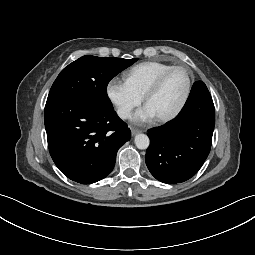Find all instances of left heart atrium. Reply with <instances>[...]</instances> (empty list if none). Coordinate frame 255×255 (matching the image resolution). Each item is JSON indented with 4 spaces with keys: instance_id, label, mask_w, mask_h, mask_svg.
<instances>
[{
    "instance_id": "left-heart-atrium-1",
    "label": "left heart atrium",
    "mask_w": 255,
    "mask_h": 255,
    "mask_svg": "<svg viewBox=\"0 0 255 255\" xmlns=\"http://www.w3.org/2000/svg\"><path fill=\"white\" fill-rule=\"evenodd\" d=\"M156 115L154 111L146 104L142 109H140L134 116V121L142 123L150 119L155 118Z\"/></svg>"
}]
</instances>
